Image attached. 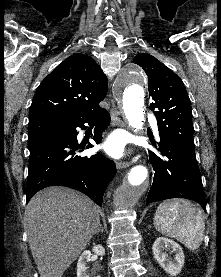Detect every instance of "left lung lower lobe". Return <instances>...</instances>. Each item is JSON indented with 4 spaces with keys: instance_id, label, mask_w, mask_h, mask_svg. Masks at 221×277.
Instances as JSON below:
<instances>
[{
    "instance_id": "left-lung-lower-lobe-1",
    "label": "left lung lower lobe",
    "mask_w": 221,
    "mask_h": 277,
    "mask_svg": "<svg viewBox=\"0 0 221 277\" xmlns=\"http://www.w3.org/2000/svg\"><path fill=\"white\" fill-rule=\"evenodd\" d=\"M160 155L150 153L155 171L147 204L170 198H186L198 202L206 211L201 173L195 154L189 153L171 141L160 138L155 146Z\"/></svg>"
}]
</instances>
